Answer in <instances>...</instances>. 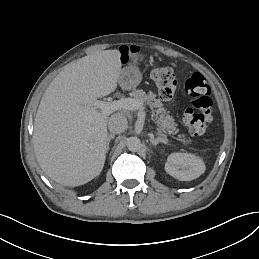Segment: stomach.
<instances>
[{"mask_svg":"<svg viewBox=\"0 0 259 259\" xmlns=\"http://www.w3.org/2000/svg\"><path fill=\"white\" fill-rule=\"evenodd\" d=\"M139 55H134L133 58L136 61ZM142 69L136 63L127 64L121 71L118 79L119 85L126 90L137 87L141 82Z\"/></svg>","mask_w":259,"mask_h":259,"instance_id":"0dacf381","label":"stomach"}]
</instances>
